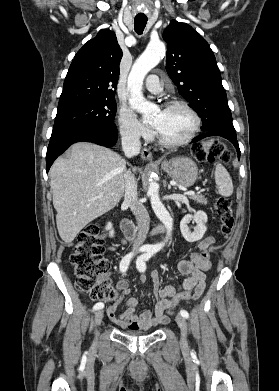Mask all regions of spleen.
Wrapping results in <instances>:
<instances>
[{
  "instance_id": "3e777b00",
  "label": "spleen",
  "mask_w": 279,
  "mask_h": 391,
  "mask_svg": "<svg viewBox=\"0 0 279 391\" xmlns=\"http://www.w3.org/2000/svg\"><path fill=\"white\" fill-rule=\"evenodd\" d=\"M214 175L219 194L225 197L231 196L233 193L232 179L222 164L216 165Z\"/></svg>"
}]
</instances>
